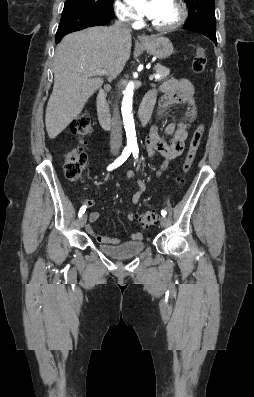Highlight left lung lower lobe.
Instances as JSON below:
<instances>
[{
	"mask_svg": "<svg viewBox=\"0 0 254 397\" xmlns=\"http://www.w3.org/2000/svg\"><path fill=\"white\" fill-rule=\"evenodd\" d=\"M184 29L201 33L210 38L215 45H217L215 17L207 16L199 20H194V18L189 14L188 20L184 25Z\"/></svg>",
	"mask_w": 254,
	"mask_h": 397,
	"instance_id": "left-lung-lower-lobe-1",
	"label": "left lung lower lobe"
}]
</instances>
